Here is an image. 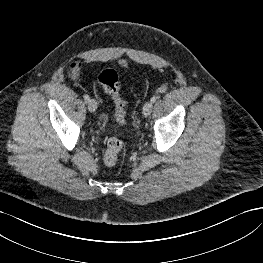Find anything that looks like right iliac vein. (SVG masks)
Instances as JSON below:
<instances>
[{
  "label": "right iliac vein",
  "mask_w": 263,
  "mask_h": 263,
  "mask_svg": "<svg viewBox=\"0 0 263 263\" xmlns=\"http://www.w3.org/2000/svg\"><path fill=\"white\" fill-rule=\"evenodd\" d=\"M98 104L94 99L88 101V110L90 112H95L97 110Z\"/></svg>",
  "instance_id": "obj_1"
}]
</instances>
